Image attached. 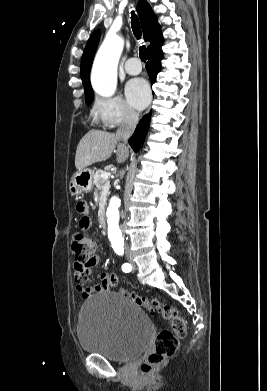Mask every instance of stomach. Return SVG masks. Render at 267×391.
I'll return each mask as SVG.
<instances>
[{"mask_svg": "<svg viewBox=\"0 0 267 391\" xmlns=\"http://www.w3.org/2000/svg\"><path fill=\"white\" fill-rule=\"evenodd\" d=\"M93 175L91 169H83L74 174L69 185V191L72 196H80L89 193L93 189Z\"/></svg>", "mask_w": 267, "mask_h": 391, "instance_id": "0dacf381", "label": "stomach"}]
</instances>
